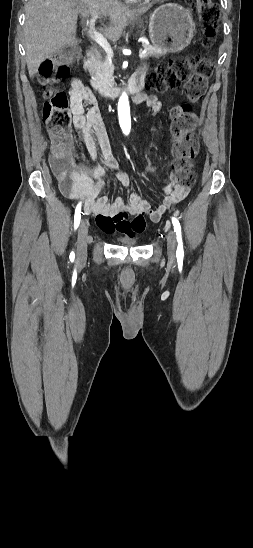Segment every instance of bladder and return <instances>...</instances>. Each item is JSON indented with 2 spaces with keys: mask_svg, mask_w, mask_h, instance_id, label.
<instances>
[{
  "mask_svg": "<svg viewBox=\"0 0 253 548\" xmlns=\"http://www.w3.org/2000/svg\"><path fill=\"white\" fill-rule=\"evenodd\" d=\"M119 242L123 243V244H126V245H135L138 243V240L137 238L135 237H120L118 239Z\"/></svg>",
  "mask_w": 253,
  "mask_h": 548,
  "instance_id": "bladder-1",
  "label": "bladder"
}]
</instances>
